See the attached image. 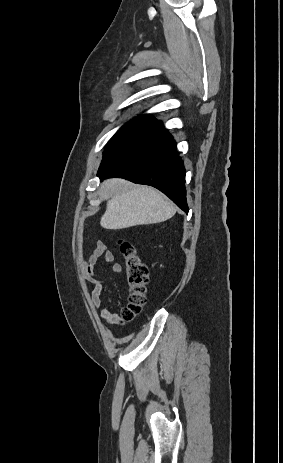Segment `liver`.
Here are the masks:
<instances>
[{
  "mask_svg": "<svg viewBox=\"0 0 283 463\" xmlns=\"http://www.w3.org/2000/svg\"><path fill=\"white\" fill-rule=\"evenodd\" d=\"M103 188L111 195L100 221L105 229L160 223L176 213L171 202L154 188L135 185L123 179L107 180Z\"/></svg>",
  "mask_w": 283,
  "mask_h": 463,
  "instance_id": "1",
  "label": "liver"
}]
</instances>
